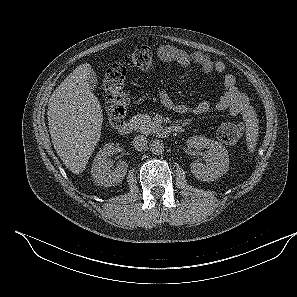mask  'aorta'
Listing matches in <instances>:
<instances>
[{
  "mask_svg": "<svg viewBox=\"0 0 297 297\" xmlns=\"http://www.w3.org/2000/svg\"><path fill=\"white\" fill-rule=\"evenodd\" d=\"M150 151L153 154L156 155H160L163 153L164 151V144L162 143V141L160 140H154L151 144H150Z\"/></svg>",
  "mask_w": 297,
  "mask_h": 297,
  "instance_id": "obj_1",
  "label": "aorta"
}]
</instances>
